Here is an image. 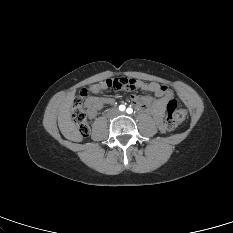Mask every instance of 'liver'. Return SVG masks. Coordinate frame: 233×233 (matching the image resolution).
I'll return each instance as SVG.
<instances>
[{"mask_svg": "<svg viewBox=\"0 0 233 233\" xmlns=\"http://www.w3.org/2000/svg\"><path fill=\"white\" fill-rule=\"evenodd\" d=\"M74 97L75 91L68 93L59 105L58 126L63 136L67 139H72L74 134L77 133V128L71 117Z\"/></svg>", "mask_w": 233, "mask_h": 233, "instance_id": "1", "label": "liver"}]
</instances>
